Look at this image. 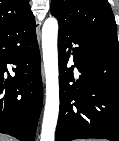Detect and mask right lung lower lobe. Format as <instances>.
Masks as SVG:
<instances>
[{
    "label": "right lung lower lobe",
    "mask_w": 119,
    "mask_h": 141,
    "mask_svg": "<svg viewBox=\"0 0 119 141\" xmlns=\"http://www.w3.org/2000/svg\"><path fill=\"white\" fill-rule=\"evenodd\" d=\"M35 29L33 20L0 35V133L20 141H34L43 100ZM8 64L16 66L14 77Z\"/></svg>",
    "instance_id": "98d812e1"
}]
</instances>
